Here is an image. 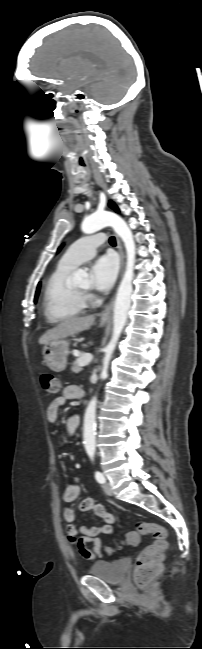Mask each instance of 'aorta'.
Returning <instances> with one entry per match:
<instances>
[{
	"label": "aorta",
	"instance_id": "obj_1",
	"mask_svg": "<svg viewBox=\"0 0 202 649\" xmlns=\"http://www.w3.org/2000/svg\"><path fill=\"white\" fill-rule=\"evenodd\" d=\"M106 226H111L116 234L122 239L126 249L127 264L114 302L113 330L110 342L104 349L103 366L100 374V378L102 380L106 379L108 376V368L112 355L127 321L128 311L131 305V295L133 291L132 280L136 251L132 231L130 230L124 219L115 213L95 212L88 218L84 219L81 225V229L85 234H92ZM86 275L87 273L84 270H77L74 273V281H81L84 277H86ZM96 406L97 398L94 396L90 400L84 415L83 442L88 455H93L95 453Z\"/></svg>",
	"mask_w": 202,
	"mask_h": 649
}]
</instances>
